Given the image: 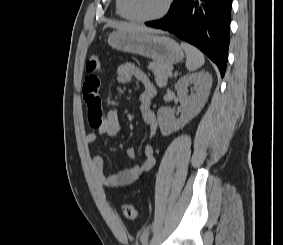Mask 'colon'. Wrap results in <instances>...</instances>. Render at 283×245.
<instances>
[{
  "instance_id": "obj_1",
  "label": "colon",
  "mask_w": 283,
  "mask_h": 245,
  "mask_svg": "<svg viewBox=\"0 0 283 245\" xmlns=\"http://www.w3.org/2000/svg\"><path fill=\"white\" fill-rule=\"evenodd\" d=\"M101 61L100 57L93 55L89 58L86 64V70L89 73H96L100 70ZM123 216L127 219H132L136 216V208L131 204L122 205Z\"/></svg>"
}]
</instances>
